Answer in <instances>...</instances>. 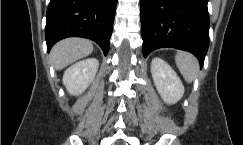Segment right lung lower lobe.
<instances>
[{"label": "right lung lower lobe", "mask_w": 243, "mask_h": 145, "mask_svg": "<svg viewBox=\"0 0 243 145\" xmlns=\"http://www.w3.org/2000/svg\"><path fill=\"white\" fill-rule=\"evenodd\" d=\"M117 0H50L46 14L47 50L66 37L95 41L107 55Z\"/></svg>", "instance_id": "1"}]
</instances>
